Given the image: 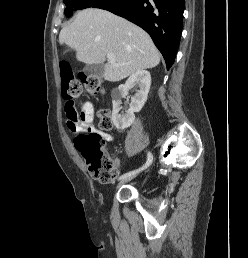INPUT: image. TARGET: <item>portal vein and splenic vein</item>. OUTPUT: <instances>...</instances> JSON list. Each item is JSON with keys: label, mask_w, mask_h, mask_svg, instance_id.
Here are the masks:
<instances>
[{"label": "portal vein and splenic vein", "mask_w": 248, "mask_h": 258, "mask_svg": "<svg viewBox=\"0 0 248 258\" xmlns=\"http://www.w3.org/2000/svg\"><path fill=\"white\" fill-rule=\"evenodd\" d=\"M107 58L110 62H112V63L115 62V56L113 54L108 53Z\"/></svg>", "instance_id": "18ae733b"}]
</instances>
